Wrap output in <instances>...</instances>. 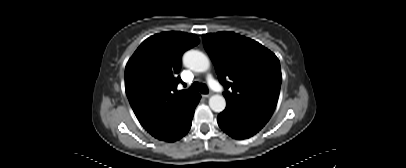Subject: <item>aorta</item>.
Returning a JSON list of instances; mask_svg holds the SVG:
<instances>
[{
  "label": "aorta",
  "mask_w": 406,
  "mask_h": 168,
  "mask_svg": "<svg viewBox=\"0 0 406 168\" xmlns=\"http://www.w3.org/2000/svg\"><path fill=\"white\" fill-rule=\"evenodd\" d=\"M183 64L194 72H206L210 67L208 57L198 51L189 50L183 55ZM209 106L214 112H222L226 107V100L222 95H213L209 99Z\"/></svg>",
  "instance_id": "aorta-1"
}]
</instances>
